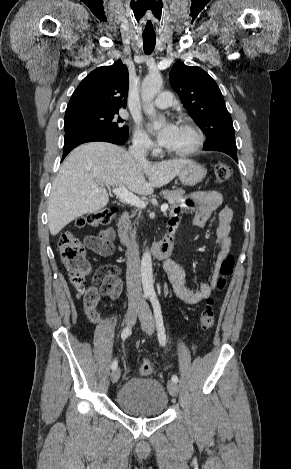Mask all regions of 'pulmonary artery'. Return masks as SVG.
I'll use <instances>...</instances> for the list:
<instances>
[{"label": "pulmonary artery", "instance_id": "obj_1", "mask_svg": "<svg viewBox=\"0 0 291 469\" xmlns=\"http://www.w3.org/2000/svg\"><path fill=\"white\" fill-rule=\"evenodd\" d=\"M173 103V96L170 92H161L157 98L153 101V105L159 109H166Z\"/></svg>", "mask_w": 291, "mask_h": 469}]
</instances>
